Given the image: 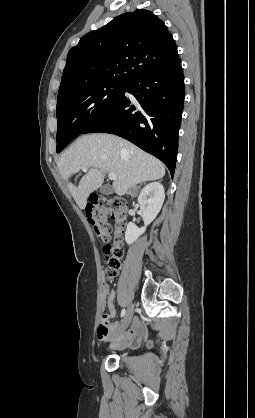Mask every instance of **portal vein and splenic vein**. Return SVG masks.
Here are the masks:
<instances>
[{
  "label": "portal vein and splenic vein",
  "instance_id": "18ae733b",
  "mask_svg": "<svg viewBox=\"0 0 255 418\" xmlns=\"http://www.w3.org/2000/svg\"><path fill=\"white\" fill-rule=\"evenodd\" d=\"M88 170V167H83L82 168V171H84V172H86ZM104 172V171H103ZM108 178L110 179V180H116V175L114 174V173H109L108 174Z\"/></svg>",
  "mask_w": 255,
  "mask_h": 418
}]
</instances>
